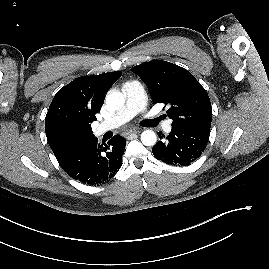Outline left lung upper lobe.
I'll list each match as a JSON object with an SVG mask.
<instances>
[{
    "instance_id": "5c2ea615",
    "label": "left lung upper lobe",
    "mask_w": 269,
    "mask_h": 269,
    "mask_svg": "<svg viewBox=\"0 0 269 269\" xmlns=\"http://www.w3.org/2000/svg\"><path fill=\"white\" fill-rule=\"evenodd\" d=\"M131 71L146 84L154 103L167 105L172 128L211 127L212 108L201 84L186 69L162 60L145 62Z\"/></svg>"
}]
</instances>
